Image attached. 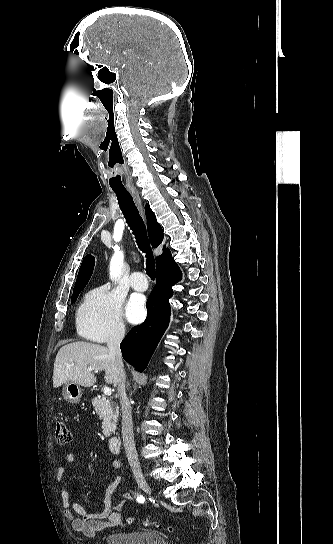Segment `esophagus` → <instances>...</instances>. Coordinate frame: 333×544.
<instances>
[{"mask_svg":"<svg viewBox=\"0 0 333 544\" xmlns=\"http://www.w3.org/2000/svg\"><path fill=\"white\" fill-rule=\"evenodd\" d=\"M129 191L132 194V196L134 197V199H135L136 203L138 204V206L142 209V201H141L138 190L136 188H131V189H129Z\"/></svg>","mask_w":333,"mask_h":544,"instance_id":"esophagus-1","label":"esophagus"}]
</instances>
